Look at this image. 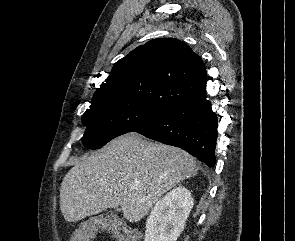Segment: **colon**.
Instances as JSON below:
<instances>
[{
	"label": "colon",
	"instance_id": "colon-1",
	"mask_svg": "<svg viewBox=\"0 0 295 241\" xmlns=\"http://www.w3.org/2000/svg\"><path fill=\"white\" fill-rule=\"evenodd\" d=\"M91 225L76 230L71 241H89L95 232L94 226L106 227L117 241H137L134 231L121 219L114 217L97 218Z\"/></svg>",
	"mask_w": 295,
	"mask_h": 241
}]
</instances>
